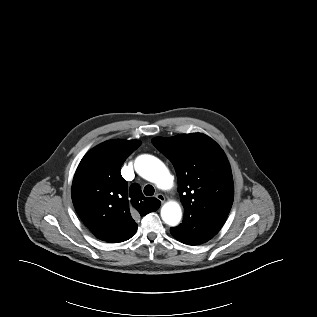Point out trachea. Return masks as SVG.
Here are the masks:
<instances>
[{
    "label": "trachea",
    "mask_w": 317,
    "mask_h": 317,
    "mask_svg": "<svg viewBox=\"0 0 317 317\" xmlns=\"http://www.w3.org/2000/svg\"><path fill=\"white\" fill-rule=\"evenodd\" d=\"M154 192H155V189L152 185H146L144 187V194L146 196H152L154 194Z\"/></svg>",
    "instance_id": "trachea-1"
}]
</instances>
